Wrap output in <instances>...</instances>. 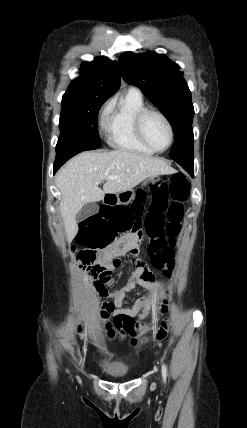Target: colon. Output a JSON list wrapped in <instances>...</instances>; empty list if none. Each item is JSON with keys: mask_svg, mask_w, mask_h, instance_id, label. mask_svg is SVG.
Segmentation results:
<instances>
[{"mask_svg": "<svg viewBox=\"0 0 247 428\" xmlns=\"http://www.w3.org/2000/svg\"><path fill=\"white\" fill-rule=\"evenodd\" d=\"M190 183L183 174H175L170 182H161L152 189V199L146 200V193L139 191L132 202L121 204H102V212H90L85 217L79 234L75 235V242L85 246L77 252L81 267L88 273L95 283L96 293L99 296L107 294V284L112 279V271L120 265V259L107 261L96 251L99 247H108L109 239H121L122 232H133L145 235L148 240V254L152 265L170 276L173 268V254L171 246L175 243V236L181 230L184 214V202L189 196ZM132 205V206H131ZM132 207V208H131ZM169 238V240L166 239ZM137 250H135L136 253ZM142 261H138L140 264ZM134 305H145V300H134ZM165 306L164 304L162 305ZM108 304H103L100 318L105 322L104 329L109 338H123L126 334L134 336L135 328L139 324L133 317H114L109 321ZM156 313H167V310H156ZM141 329L146 330L149 323L154 320H139ZM146 323V325H145ZM169 329V322L163 321L151 337L144 342L159 341L163 339ZM82 327L78 332L82 334ZM135 344V339H132Z\"/></svg>", "mask_w": 247, "mask_h": 428, "instance_id": "1", "label": "colon"}]
</instances>
